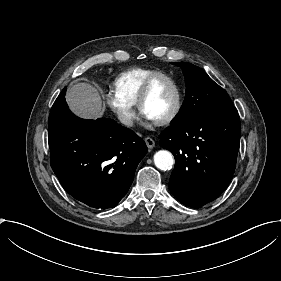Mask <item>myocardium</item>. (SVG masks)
Here are the masks:
<instances>
[{
    "label": "myocardium",
    "instance_id": "obj_1",
    "mask_svg": "<svg viewBox=\"0 0 281 281\" xmlns=\"http://www.w3.org/2000/svg\"><path fill=\"white\" fill-rule=\"evenodd\" d=\"M162 81H166V82L170 83L172 85V87L174 88L175 103H174V107H173L171 113L164 120L153 122L157 126H166V125L171 124L178 117V115L181 111V108H182V91H181V87H180L179 83L171 75L163 73V74H158V75L151 77L145 83V85L140 93V96L138 98V101H137V106H138V110H139L140 114L145 117V114L143 111L144 104L150 97L155 86Z\"/></svg>",
    "mask_w": 281,
    "mask_h": 281
}]
</instances>
